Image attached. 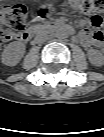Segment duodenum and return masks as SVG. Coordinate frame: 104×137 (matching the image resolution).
I'll list each match as a JSON object with an SVG mask.
<instances>
[{"instance_id": "1", "label": "duodenum", "mask_w": 104, "mask_h": 137, "mask_svg": "<svg viewBox=\"0 0 104 137\" xmlns=\"http://www.w3.org/2000/svg\"><path fill=\"white\" fill-rule=\"evenodd\" d=\"M43 31V28L40 26V25H35V26H32L27 32H26V36L28 38L36 35V34H39Z\"/></svg>"}]
</instances>
